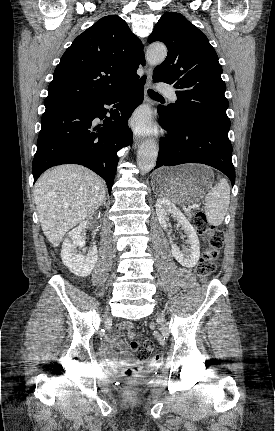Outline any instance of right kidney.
Segmentation results:
<instances>
[{
  "mask_svg": "<svg viewBox=\"0 0 275 431\" xmlns=\"http://www.w3.org/2000/svg\"><path fill=\"white\" fill-rule=\"evenodd\" d=\"M90 226L91 223L89 221L81 222L78 227L72 229L68 233L69 238L65 239L62 244L61 258L63 264L68 267L72 273L80 277L88 276L94 269L98 259L95 243L87 254L78 250L85 244L81 233Z\"/></svg>",
  "mask_w": 275,
  "mask_h": 431,
  "instance_id": "1",
  "label": "right kidney"
}]
</instances>
